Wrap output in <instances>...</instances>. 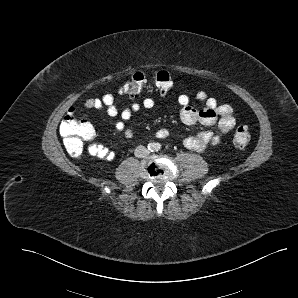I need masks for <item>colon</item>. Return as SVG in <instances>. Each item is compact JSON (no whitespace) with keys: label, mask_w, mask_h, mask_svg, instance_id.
<instances>
[{"label":"colon","mask_w":298,"mask_h":298,"mask_svg":"<svg viewBox=\"0 0 298 298\" xmlns=\"http://www.w3.org/2000/svg\"><path fill=\"white\" fill-rule=\"evenodd\" d=\"M146 85V76L142 72H136L121 86L119 92L131 97L138 96ZM155 87L163 94L170 92L173 88L171 75L164 70L155 75ZM63 144L66 151L75 158H80L85 145L89 146L95 136L92 125L81 117L74 108H70L59 127ZM251 140V133L247 126L240 125L236 128L233 143L238 148L246 147Z\"/></svg>","instance_id":"obj_1"}]
</instances>
